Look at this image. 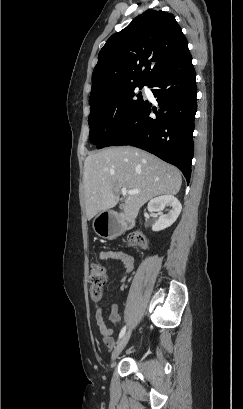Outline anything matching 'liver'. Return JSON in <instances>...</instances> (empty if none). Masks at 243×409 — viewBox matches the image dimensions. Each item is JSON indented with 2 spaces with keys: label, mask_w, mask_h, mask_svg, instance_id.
Returning a JSON list of instances; mask_svg holds the SVG:
<instances>
[{
  "label": "liver",
  "mask_w": 243,
  "mask_h": 409,
  "mask_svg": "<svg viewBox=\"0 0 243 409\" xmlns=\"http://www.w3.org/2000/svg\"><path fill=\"white\" fill-rule=\"evenodd\" d=\"M83 183L88 220L115 207L122 188L140 190L125 198L124 215L134 220L150 199L176 195L182 178L175 166L158 157L134 147L119 146L88 155L84 162Z\"/></svg>",
  "instance_id": "obj_1"
}]
</instances>
